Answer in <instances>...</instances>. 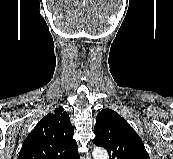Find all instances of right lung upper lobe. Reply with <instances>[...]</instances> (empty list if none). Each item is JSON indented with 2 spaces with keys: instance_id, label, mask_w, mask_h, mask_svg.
Wrapping results in <instances>:
<instances>
[{
  "instance_id": "right-lung-upper-lobe-1",
  "label": "right lung upper lobe",
  "mask_w": 173,
  "mask_h": 159,
  "mask_svg": "<svg viewBox=\"0 0 173 159\" xmlns=\"http://www.w3.org/2000/svg\"><path fill=\"white\" fill-rule=\"evenodd\" d=\"M74 129L62 107L47 114L25 139L18 159H80Z\"/></svg>"
}]
</instances>
